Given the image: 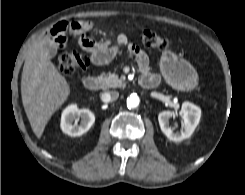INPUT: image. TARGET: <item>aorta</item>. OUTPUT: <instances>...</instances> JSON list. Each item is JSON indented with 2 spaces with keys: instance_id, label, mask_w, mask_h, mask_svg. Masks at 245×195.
Returning a JSON list of instances; mask_svg holds the SVG:
<instances>
[{
  "instance_id": "1",
  "label": "aorta",
  "mask_w": 245,
  "mask_h": 195,
  "mask_svg": "<svg viewBox=\"0 0 245 195\" xmlns=\"http://www.w3.org/2000/svg\"><path fill=\"white\" fill-rule=\"evenodd\" d=\"M139 97L137 96V94L132 93L128 99H127V107L128 108H136L139 105Z\"/></svg>"
}]
</instances>
